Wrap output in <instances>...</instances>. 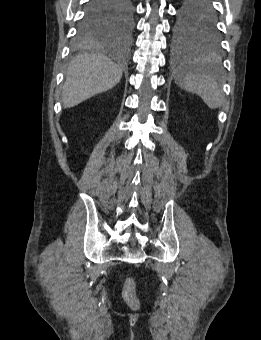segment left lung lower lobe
<instances>
[{"label": "left lung lower lobe", "mask_w": 261, "mask_h": 340, "mask_svg": "<svg viewBox=\"0 0 261 340\" xmlns=\"http://www.w3.org/2000/svg\"><path fill=\"white\" fill-rule=\"evenodd\" d=\"M212 0H205L204 2L206 3V4H211L212 5V2H211ZM184 2H185V0H184Z\"/></svg>", "instance_id": "obj_1"}]
</instances>
